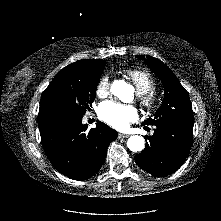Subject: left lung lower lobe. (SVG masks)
<instances>
[{
  "instance_id": "1",
  "label": "left lung lower lobe",
  "mask_w": 221,
  "mask_h": 221,
  "mask_svg": "<svg viewBox=\"0 0 221 221\" xmlns=\"http://www.w3.org/2000/svg\"><path fill=\"white\" fill-rule=\"evenodd\" d=\"M152 136H146L145 149L135 156L140 168L155 177L177 171L192 146L193 124L161 123Z\"/></svg>"
}]
</instances>
